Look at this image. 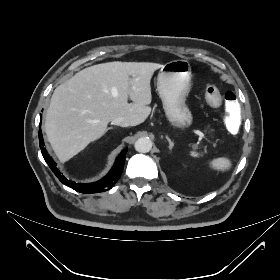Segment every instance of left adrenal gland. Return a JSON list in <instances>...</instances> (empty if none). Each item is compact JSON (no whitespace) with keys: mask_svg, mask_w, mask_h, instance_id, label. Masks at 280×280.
Returning <instances> with one entry per match:
<instances>
[{"mask_svg":"<svg viewBox=\"0 0 280 280\" xmlns=\"http://www.w3.org/2000/svg\"><path fill=\"white\" fill-rule=\"evenodd\" d=\"M166 139H167V141L169 142V149L172 150V148H173V146H174L173 141H171V139H170L168 136H166Z\"/></svg>","mask_w":280,"mask_h":280,"instance_id":"obj_1","label":"left adrenal gland"}]
</instances>
